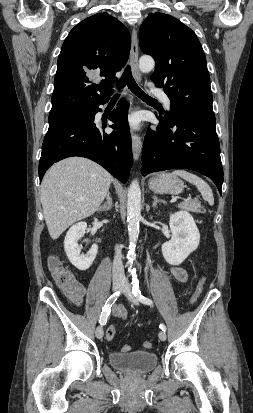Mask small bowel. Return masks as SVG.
<instances>
[{
	"instance_id": "1",
	"label": "small bowel",
	"mask_w": 253,
	"mask_h": 413,
	"mask_svg": "<svg viewBox=\"0 0 253 413\" xmlns=\"http://www.w3.org/2000/svg\"><path fill=\"white\" fill-rule=\"evenodd\" d=\"M169 277L185 283L187 281V272L182 267H169ZM61 289L72 304L75 306L83 304L86 287L80 281L74 279L70 284L62 286ZM111 312L117 318L125 319L127 317V310L121 305H115Z\"/></svg>"
}]
</instances>
